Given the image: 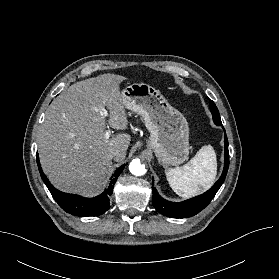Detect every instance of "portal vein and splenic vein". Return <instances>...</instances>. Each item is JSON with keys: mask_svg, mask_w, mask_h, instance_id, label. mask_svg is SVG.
I'll return each instance as SVG.
<instances>
[{"mask_svg": "<svg viewBox=\"0 0 279 279\" xmlns=\"http://www.w3.org/2000/svg\"><path fill=\"white\" fill-rule=\"evenodd\" d=\"M101 112H102L105 116L108 115L107 110H106L105 108H102V109H101ZM110 135H111V131H110V130L105 131V135H104V136H105L106 139H109Z\"/></svg>", "mask_w": 279, "mask_h": 279, "instance_id": "obj_1", "label": "portal vein and splenic vein"}]
</instances>
